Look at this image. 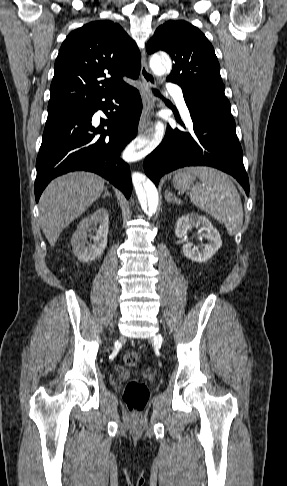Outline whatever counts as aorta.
<instances>
[{
  "mask_svg": "<svg viewBox=\"0 0 287 486\" xmlns=\"http://www.w3.org/2000/svg\"><path fill=\"white\" fill-rule=\"evenodd\" d=\"M150 68L156 76H162L165 71H170L172 68L171 60L166 55L154 54L150 59ZM165 126L163 124L156 125L154 138H146L137 144V148H154L156 147L164 137ZM133 186L135 188L137 197L140 201L141 207L149 215H153L158 207L159 197L158 191L155 185L147 180L145 182H140V180L133 176L132 178Z\"/></svg>",
  "mask_w": 287,
  "mask_h": 486,
  "instance_id": "762f6f07",
  "label": "aorta"
}]
</instances>
